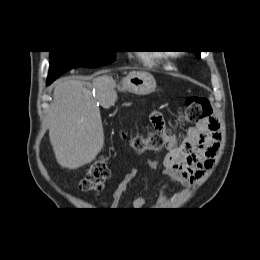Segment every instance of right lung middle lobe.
I'll return each mask as SVG.
<instances>
[{
  "label": "right lung middle lobe",
  "mask_w": 260,
  "mask_h": 260,
  "mask_svg": "<svg viewBox=\"0 0 260 260\" xmlns=\"http://www.w3.org/2000/svg\"><path fill=\"white\" fill-rule=\"evenodd\" d=\"M116 51H50L47 81L53 82L66 71L76 67H98L114 61Z\"/></svg>",
  "instance_id": "1"
}]
</instances>
